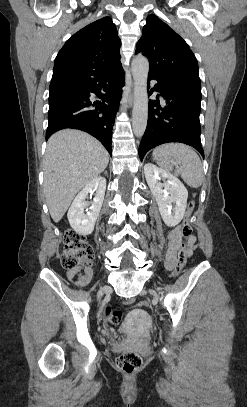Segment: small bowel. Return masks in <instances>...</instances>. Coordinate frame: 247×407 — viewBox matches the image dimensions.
<instances>
[{
    "label": "small bowel",
    "instance_id": "obj_1",
    "mask_svg": "<svg viewBox=\"0 0 247 407\" xmlns=\"http://www.w3.org/2000/svg\"><path fill=\"white\" fill-rule=\"evenodd\" d=\"M195 243V237L191 236L188 239V244L191 247ZM181 245V231L180 227L172 230L168 236V244L165 253V266L167 269H172L176 262V253ZM190 251L188 255H190ZM92 269L90 267H78L74 269H68L66 271V276L69 280L73 281L77 286H85L92 279Z\"/></svg>",
    "mask_w": 247,
    "mask_h": 407
}]
</instances>
